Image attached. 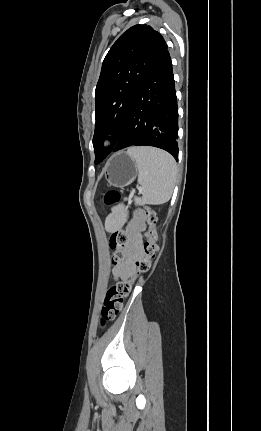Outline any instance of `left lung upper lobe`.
<instances>
[{
	"mask_svg": "<svg viewBox=\"0 0 261 431\" xmlns=\"http://www.w3.org/2000/svg\"><path fill=\"white\" fill-rule=\"evenodd\" d=\"M167 48L160 33L139 24L124 32L107 53L95 90V164L111 152L120 138L136 93ZM109 134L114 144L103 148L101 140Z\"/></svg>",
	"mask_w": 261,
	"mask_h": 431,
	"instance_id": "5c2ea615",
	"label": "left lung upper lobe"
}]
</instances>
